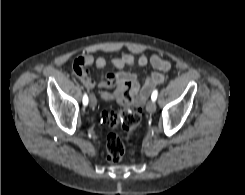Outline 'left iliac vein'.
<instances>
[{"instance_id":"1","label":"left iliac vein","mask_w":245,"mask_h":195,"mask_svg":"<svg viewBox=\"0 0 245 195\" xmlns=\"http://www.w3.org/2000/svg\"><path fill=\"white\" fill-rule=\"evenodd\" d=\"M146 110L150 113L154 112L156 110V104L155 101H148L147 105H146Z\"/></svg>"}]
</instances>
